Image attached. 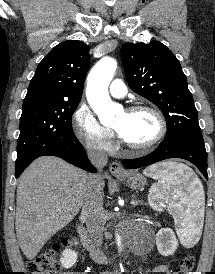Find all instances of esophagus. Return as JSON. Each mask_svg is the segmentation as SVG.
<instances>
[{"label":"esophagus","instance_id":"1","mask_svg":"<svg viewBox=\"0 0 215 274\" xmlns=\"http://www.w3.org/2000/svg\"><path fill=\"white\" fill-rule=\"evenodd\" d=\"M110 172L112 175L114 176H123L125 175V170L123 169V167L121 166V164L119 162H112L110 164Z\"/></svg>","mask_w":215,"mask_h":274}]
</instances>
